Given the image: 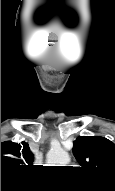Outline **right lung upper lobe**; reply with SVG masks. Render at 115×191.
I'll list each match as a JSON object with an SVG mask.
<instances>
[{
  "label": "right lung upper lobe",
  "instance_id": "obj_1",
  "mask_svg": "<svg viewBox=\"0 0 115 191\" xmlns=\"http://www.w3.org/2000/svg\"><path fill=\"white\" fill-rule=\"evenodd\" d=\"M33 154L26 142L1 143V180L18 179L28 169L32 168Z\"/></svg>",
  "mask_w": 115,
  "mask_h": 191
}]
</instances>
